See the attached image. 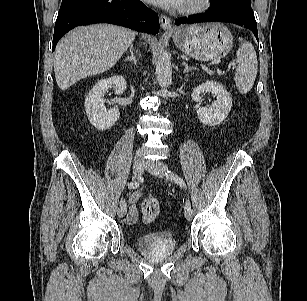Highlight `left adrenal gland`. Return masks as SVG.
Segmentation results:
<instances>
[{
  "label": "left adrenal gland",
  "mask_w": 307,
  "mask_h": 301,
  "mask_svg": "<svg viewBox=\"0 0 307 301\" xmlns=\"http://www.w3.org/2000/svg\"><path fill=\"white\" fill-rule=\"evenodd\" d=\"M182 64H183L184 67H185L183 73H188L190 70L196 69V68H194V67H189L188 64H187L186 62H183Z\"/></svg>",
  "instance_id": "a2214340"
}]
</instances>
